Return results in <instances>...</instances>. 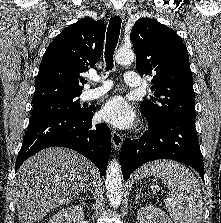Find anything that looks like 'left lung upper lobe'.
Segmentation results:
<instances>
[{
	"mask_svg": "<svg viewBox=\"0 0 221 223\" xmlns=\"http://www.w3.org/2000/svg\"><path fill=\"white\" fill-rule=\"evenodd\" d=\"M139 74H155L154 97L141 103L142 114L152 124L174 116L195 118V94L188 51L177 33L150 18H141L130 34Z\"/></svg>",
	"mask_w": 221,
	"mask_h": 223,
	"instance_id": "left-lung-upper-lobe-1",
	"label": "left lung upper lobe"
}]
</instances>
